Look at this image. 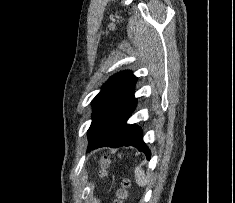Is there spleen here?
Here are the masks:
<instances>
[{"mask_svg":"<svg viewBox=\"0 0 235 203\" xmlns=\"http://www.w3.org/2000/svg\"><path fill=\"white\" fill-rule=\"evenodd\" d=\"M135 180L136 183L141 187L146 186L148 182V177L145 175V172L141 169L140 166L135 168Z\"/></svg>","mask_w":235,"mask_h":203,"instance_id":"3e777b00","label":"spleen"}]
</instances>
